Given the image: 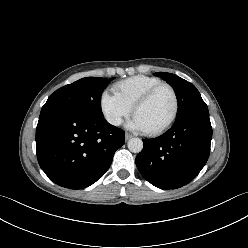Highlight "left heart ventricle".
I'll return each instance as SVG.
<instances>
[{
  "instance_id": "b2bd125f",
  "label": "left heart ventricle",
  "mask_w": 248,
  "mask_h": 248,
  "mask_svg": "<svg viewBox=\"0 0 248 248\" xmlns=\"http://www.w3.org/2000/svg\"><path fill=\"white\" fill-rule=\"evenodd\" d=\"M173 108L174 100L170 90L162 88L137 110L135 117L139 119L145 130H153L170 118Z\"/></svg>"
}]
</instances>
